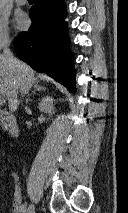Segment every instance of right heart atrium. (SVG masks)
I'll return each mask as SVG.
<instances>
[{
    "label": "right heart atrium",
    "instance_id": "right-heart-atrium-1",
    "mask_svg": "<svg viewBox=\"0 0 128 213\" xmlns=\"http://www.w3.org/2000/svg\"><path fill=\"white\" fill-rule=\"evenodd\" d=\"M10 41V28L8 17L0 12V47L6 45Z\"/></svg>",
    "mask_w": 128,
    "mask_h": 213
}]
</instances>
